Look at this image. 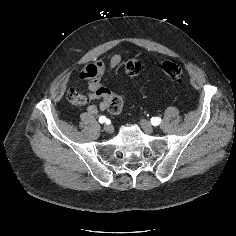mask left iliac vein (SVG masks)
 I'll list each match as a JSON object with an SVG mask.
<instances>
[{"label":"left iliac vein","mask_w":236,"mask_h":236,"mask_svg":"<svg viewBox=\"0 0 236 236\" xmlns=\"http://www.w3.org/2000/svg\"><path fill=\"white\" fill-rule=\"evenodd\" d=\"M140 124L142 125L143 129L149 133L152 134L154 132V127L151 125V123L145 119H142L140 121Z\"/></svg>","instance_id":"left-iliac-vein-1"}]
</instances>
